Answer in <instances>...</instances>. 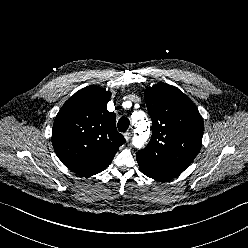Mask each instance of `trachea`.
I'll use <instances>...</instances> for the list:
<instances>
[{
  "instance_id": "obj_1",
  "label": "trachea",
  "mask_w": 248,
  "mask_h": 248,
  "mask_svg": "<svg viewBox=\"0 0 248 248\" xmlns=\"http://www.w3.org/2000/svg\"><path fill=\"white\" fill-rule=\"evenodd\" d=\"M130 121L127 117H121L118 121V129L120 132H125L129 128Z\"/></svg>"
}]
</instances>
